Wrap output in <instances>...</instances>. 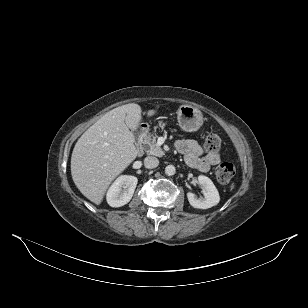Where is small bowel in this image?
<instances>
[{
  "label": "small bowel",
  "mask_w": 308,
  "mask_h": 308,
  "mask_svg": "<svg viewBox=\"0 0 308 308\" xmlns=\"http://www.w3.org/2000/svg\"><path fill=\"white\" fill-rule=\"evenodd\" d=\"M176 149L183 154L188 166L201 172L208 171L212 166L218 164L221 159L218 151L204 154L203 147L194 139L178 141Z\"/></svg>",
  "instance_id": "1"
}]
</instances>
